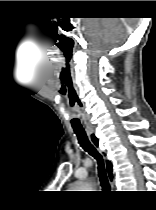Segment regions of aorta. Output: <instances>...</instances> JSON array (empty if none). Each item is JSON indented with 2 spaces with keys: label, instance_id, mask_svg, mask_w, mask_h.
I'll return each instance as SVG.
<instances>
[{
  "label": "aorta",
  "instance_id": "762f6f07",
  "mask_svg": "<svg viewBox=\"0 0 156 210\" xmlns=\"http://www.w3.org/2000/svg\"><path fill=\"white\" fill-rule=\"evenodd\" d=\"M76 188H78V189H90L89 186L84 185V184H78V185H76Z\"/></svg>",
  "mask_w": 156,
  "mask_h": 210
}]
</instances>
